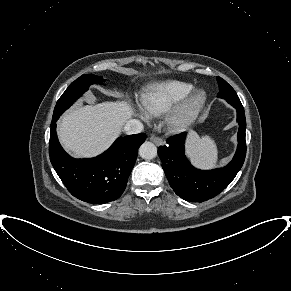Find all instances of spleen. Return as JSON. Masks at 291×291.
<instances>
[{"mask_svg":"<svg viewBox=\"0 0 291 291\" xmlns=\"http://www.w3.org/2000/svg\"><path fill=\"white\" fill-rule=\"evenodd\" d=\"M187 154L193 163L201 168H211L217 163V146L209 136L201 138L192 133L187 143Z\"/></svg>","mask_w":291,"mask_h":291,"instance_id":"obj_1","label":"spleen"}]
</instances>
